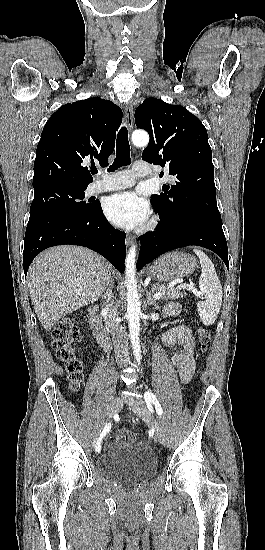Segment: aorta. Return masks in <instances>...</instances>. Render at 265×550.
<instances>
[{
  "label": "aorta",
  "instance_id": "obj_1",
  "mask_svg": "<svg viewBox=\"0 0 265 550\" xmlns=\"http://www.w3.org/2000/svg\"><path fill=\"white\" fill-rule=\"evenodd\" d=\"M132 142L136 146H146L149 142V135L144 131H137L132 134ZM136 246L133 245L126 256L125 261V274H126V289H127V318L129 323V332L132 348L136 357V361L139 364L141 360L140 355V302L139 293L137 289L136 281Z\"/></svg>",
  "mask_w": 265,
  "mask_h": 550
}]
</instances>
